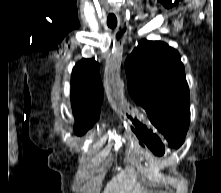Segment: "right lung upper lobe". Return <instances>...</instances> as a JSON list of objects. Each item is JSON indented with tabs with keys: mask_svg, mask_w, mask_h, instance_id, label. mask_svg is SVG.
<instances>
[{
	"mask_svg": "<svg viewBox=\"0 0 221 193\" xmlns=\"http://www.w3.org/2000/svg\"><path fill=\"white\" fill-rule=\"evenodd\" d=\"M102 101L99 64L95 59H82L73 68L71 77V104L77 121L75 132L93 126L99 118Z\"/></svg>",
	"mask_w": 221,
	"mask_h": 193,
	"instance_id": "cb5924a9",
	"label": "right lung upper lobe"
}]
</instances>
